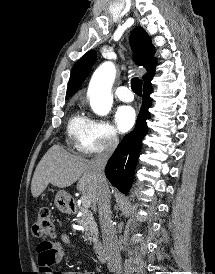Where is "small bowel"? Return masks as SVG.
Masks as SVG:
<instances>
[{
	"mask_svg": "<svg viewBox=\"0 0 215 274\" xmlns=\"http://www.w3.org/2000/svg\"><path fill=\"white\" fill-rule=\"evenodd\" d=\"M62 244H65L69 248H73L75 246L71 238L66 233L60 234V241H42L37 245L40 272H43V274H95L94 272L76 271L54 272L52 266L59 263L67 253Z\"/></svg>",
	"mask_w": 215,
	"mask_h": 274,
	"instance_id": "small-bowel-1",
	"label": "small bowel"
}]
</instances>
